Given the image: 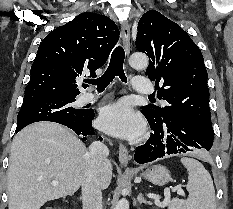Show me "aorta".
Returning a JSON list of instances; mask_svg holds the SVG:
<instances>
[{"label": "aorta", "mask_w": 233, "mask_h": 209, "mask_svg": "<svg viewBox=\"0 0 233 209\" xmlns=\"http://www.w3.org/2000/svg\"><path fill=\"white\" fill-rule=\"evenodd\" d=\"M130 65L135 69H145L148 66V57L144 54H132L129 59ZM115 209H129V203L126 199H121L117 202Z\"/></svg>", "instance_id": "762f6f07"}]
</instances>
